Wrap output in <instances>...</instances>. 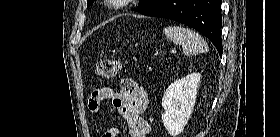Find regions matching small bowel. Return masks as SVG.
Wrapping results in <instances>:
<instances>
[{"label": "small bowel", "instance_id": "1", "mask_svg": "<svg viewBox=\"0 0 280 137\" xmlns=\"http://www.w3.org/2000/svg\"><path fill=\"white\" fill-rule=\"evenodd\" d=\"M105 100H110L119 116L127 122L131 137L147 136L149 126L141 117L148 104V95L143 86L133 78L123 77L119 91L110 87L95 88L88 102L90 111L97 112ZM107 132H116V128L112 127Z\"/></svg>", "mask_w": 280, "mask_h": 137}]
</instances>
